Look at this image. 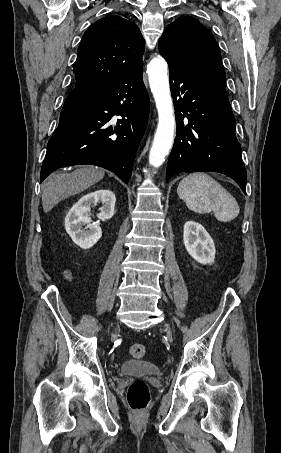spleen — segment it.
I'll list each match as a JSON object with an SVG mask.
<instances>
[{"label":"spleen","mask_w":281,"mask_h":453,"mask_svg":"<svg viewBox=\"0 0 281 453\" xmlns=\"http://www.w3.org/2000/svg\"><path fill=\"white\" fill-rule=\"evenodd\" d=\"M178 196L194 212H214L217 220L229 222L239 214L234 196L205 172H192L182 178L177 188Z\"/></svg>","instance_id":"obj_1"}]
</instances>
